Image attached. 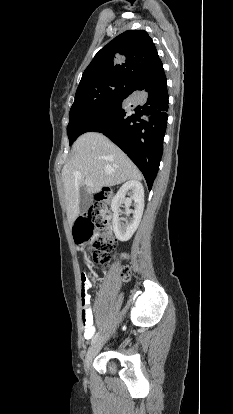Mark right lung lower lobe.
<instances>
[{"instance_id": "obj_1", "label": "right lung lower lobe", "mask_w": 233, "mask_h": 414, "mask_svg": "<svg viewBox=\"0 0 233 414\" xmlns=\"http://www.w3.org/2000/svg\"><path fill=\"white\" fill-rule=\"evenodd\" d=\"M130 82L124 95L91 116L79 134L94 131L107 136L141 170L151 190L161 161L167 126V80L162 70Z\"/></svg>"}]
</instances>
